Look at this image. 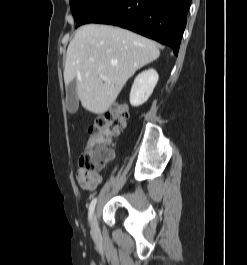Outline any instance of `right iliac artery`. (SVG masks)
Wrapping results in <instances>:
<instances>
[{
    "label": "right iliac artery",
    "mask_w": 247,
    "mask_h": 265,
    "mask_svg": "<svg viewBox=\"0 0 247 265\" xmlns=\"http://www.w3.org/2000/svg\"><path fill=\"white\" fill-rule=\"evenodd\" d=\"M96 202H97V199H93L90 203V206H89V221H91L92 219V214H93V211H94V208H95V205H96Z\"/></svg>",
    "instance_id": "obj_1"
}]
</instances>
